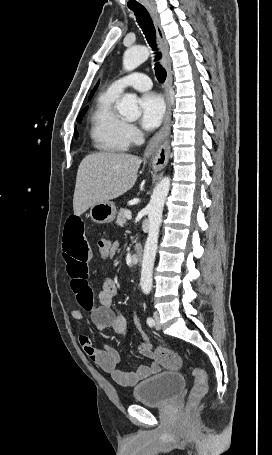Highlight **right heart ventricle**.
Segmentation results:
<instances>
[{
	"mask_svg": "<svg viewBox=\"0 0 272 455\" xmlns=\"http://www.w3.org/2000/svg\"><path fill=\"white\" fill-rule=\"evenodd\" d=\"M119 94L106 89L98 96L89 117V135L94 147L106 153L124 152L130 145L127 123L114 109Z\"/></svg>",
	"mask_w": 272,
	"mask_h": 455,
	"instance_id": "1",
	"label": "right heart ventricle"
}]
</instances>
